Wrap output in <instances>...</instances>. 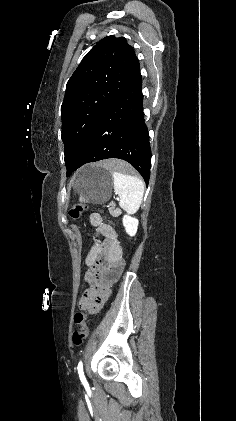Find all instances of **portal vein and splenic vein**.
<instances>
[{
  "instance_id": "portal-vein-and-splenic-vein-1",
  "label": "portal vein and splenic vein",
  "mask_w": 236,
  "mask_h": 421,
  "mask_svg": "<svg viewBox=\"0 0 236 421\" xmlns=\"http://www.w3.org/2000/svg\"><path fill=\"white\" fill-rule=\"evenodd\" d=\"M116 197H119V194H116Z\"/></svg>"
}]
</instances>
